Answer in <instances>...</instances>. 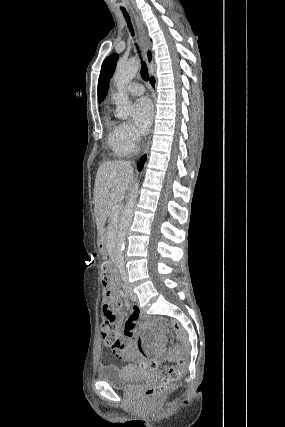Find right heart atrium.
Listing matches in <instances>:
<instances>
[{
    "instance_id": "1",
    "label": "right heart atrium",
    "mask_w": 285,
    "mask_h": 427,
    "mask_svg": "<svg viewBox=\"0 0 285 427\" xmlns=\"http://www.w3.org/2000/svg\"><path fill=\"white\" fill-rule=\"evenodd\" d=\"M120 135L123 145L130 151H134L136 144L140 141V135L135 127L129 123H122L120 125Z\"/></svg>"
}]
</instances>
